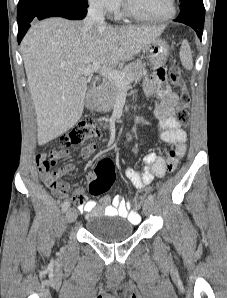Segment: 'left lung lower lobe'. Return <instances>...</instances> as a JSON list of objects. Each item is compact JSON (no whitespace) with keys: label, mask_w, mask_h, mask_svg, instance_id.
<instances>
[{"label":"left lung lower lobe","mask_w":227,"mask_h":298,"mask_svg":"<svg viewBox=\"0 0 227 298\" xmlns=\"http://www.w3.org/2000/svg\"><path fill=\"white\" fill-rule=\"evenodd\" d=\"M174 21L180 22L192 27L196 31L198 37L202 38L204 18L194 16V15H185V16H178Z\"/></svg>","instance_id":"obj_1"}]
</instances>
